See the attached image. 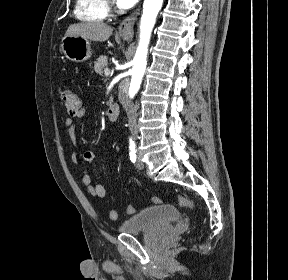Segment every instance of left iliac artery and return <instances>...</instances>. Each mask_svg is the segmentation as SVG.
I'll list each match as a JSON object with an SVG mask.
<instances>
[{"label": "left iliac artery", "mask_w": 288, "mask_h": 280, "mask_svg": "<svg viewBox=\"0 0 288 280\" xmlns=\"http://www.w3.org/2000/svg\"><path fill=\"white\" fill-rule=\"evenodd\" d=\"M129 157L132 163H135L136 161V149H135V143L133 141L129 144Z\"/></svg>", "instance_id": "44dca946"}]
</instances>
